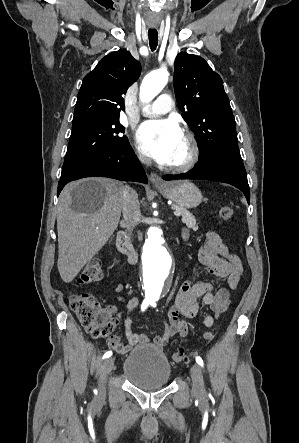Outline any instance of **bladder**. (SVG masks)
<instances>
[{
    "label": "bladder",
    "mask_w": 299,
    "mask_h": 443,
    "mask_svg": "<svg viewBox=\"0 0 299 443\" xmlns=\"http://www.w3.org/2000/svg\"><path fill=\"white\" fill-rule=\"evenodd\" d=\"M124 376L136 387L156 390L166 386L172 375L165 352L153 346L134 348L123 363Z\"/></svg>",
    "instance_id": "bladder-1"
}]
</instances>
